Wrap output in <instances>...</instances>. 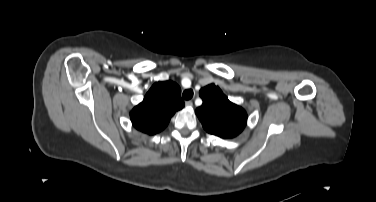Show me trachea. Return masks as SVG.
Listing matches in <instances>:
<instances>
[{
	"mask_svg": "<svg viewBox=\"0 0 376 202\" xmlns=\"http://www.w3.org/2000/svg\"><path fill=\"white\" fill-rule=\"evenodd\" d=\"M182 97L184 100H189L193 97V90L187 89L183 92Z\"/></svg>",
	"mask_w": 376,
	"mask_h": 202,
	"instance_id": "trachea-1",
	"label": "trachea"
}]
</instances>
